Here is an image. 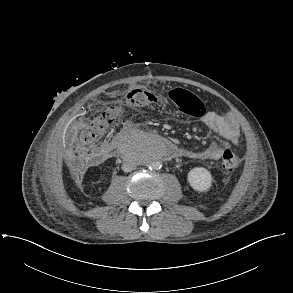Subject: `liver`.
Returning a JSON list of instances; mask_svg holds the SVG:
<instances>
[{"label":"liver","instance_id":"liver-1","mask_svg":"<svg viewBox=\"0 0 293 293\" xmlns=\"http://www.w3.org/2000/svg\"><path fill=\"white\" fill-rule=\"evenodd\" d=\"M65 157H66V159L69 160V161H74V160H75V159H74V154H73L72 151H70V150H66V151H65Z\"/></svg>","mask_w":293,"mask_h":293}]
</instances>
